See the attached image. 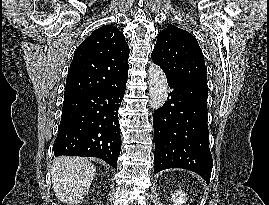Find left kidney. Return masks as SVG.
<instances>
[{
    "mask_svg": "<svg viewBox=\"0 0 269 205\" xmlns=\"http://www.w3.org/2000/svg\"><path fill=\"white\" fill-rule=\"evenodd\" d=\"M172 200L174 202V205H183L184 203H186L185 193H183L181 190L177 191L172 195Z\"/></svg>",
    "mask_w": 269,
    "mask_h": 205,
    "instance_id": "obj_1",
    "label": "left kidney"
}]
</instances>
